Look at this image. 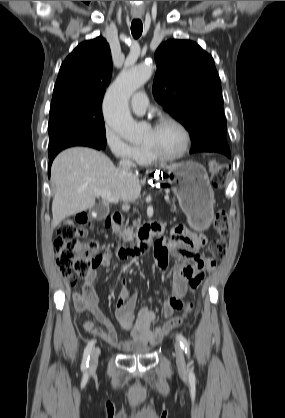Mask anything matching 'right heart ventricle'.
<instances>
[{
    "label": "right heart ventricle",
    "mask_w": 285,
    "mask_h": 418,
    "mask_svg": "<svg viewBox=\"0 0 285 418\" xmlns=\"http://www.w3.org/2000/svg\"><path fill=\"white\" fill-rule=\"evenodd\" d=\"M138 162L142 164H151L154 162L145 152L143 148H140L139 154H138Z\"/></svg>",
    "instance_id": "1"
}]
</instances>
